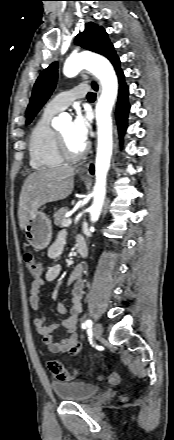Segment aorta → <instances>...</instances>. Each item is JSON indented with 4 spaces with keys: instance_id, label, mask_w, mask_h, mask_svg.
Returning <instances> with one entry per match:
<instances>
[{
    "instance_id": "obj_1",
    "label": "aorta",
    "mask_w": 174,
    "mask_h": 440,
    "mask_svg": "<svg viewBox=\"0 0 174 440\" xmlns=\"http://www.w3.org/2000/svg\"><path fill=\"white\" fill-rule=\"evenodd\" d=\"M82 69H87L93 73L102 85V92L96 105L98 145L93 203L90 208L91 221L96 222L101 215L106 196V178L113 149L111 112L118 94V79L109 60L94 53H80L70 56L64 63L63 74L71 78L76 76ZM63 117V115H60L55 118L54 124L59 125Z\"/></svg>"
}]
</instances>
